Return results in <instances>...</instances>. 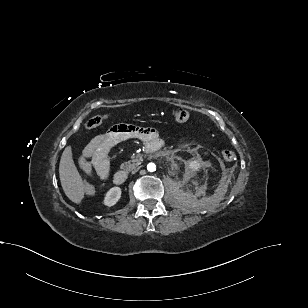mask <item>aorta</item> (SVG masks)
I'll list each match as a JSON object with an SVG mask.
<instances>
[{
	"mask_svg": "<svg viewBox=\"0 0 308 308\" xmlns=\"http://www.w3.org/2000/svg\"><path fill=\"white\" fill-rule=\"evenodd\" d=\"M147 170H148L149 172H154V171L156 170V165H155L154 163H149V164L147 165Z\"/></svg>",
	"mask_w": 308,
	"mask_h": 308,
	"instance_id": "obj_1",
	"label": "aorta"
}]
</instances>
